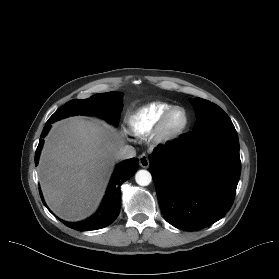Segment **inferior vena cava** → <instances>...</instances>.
I'll return each instance as SVG.
<instances>
[{"instance_id": "602c4592", "label": "inferior vena cava", "mask_w": 279, "mask_h": 279, "mask_svg": "<svg viewBox=\"0 0 279 279\" xmlns=\"http://www.w3.org/2000/svg\"><path fill=\"white\" fill-rule=\"evenodd\" d=\"M136 156V150L133 146L125 145L119 148L116 152V158L119 160H125Z\"/></svg>"}]
</instances>
